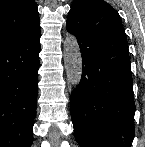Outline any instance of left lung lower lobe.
Here are the masks:
<instances>
[{"label":"left lung lower lobe","mask_w":145,"mask_h":147,"mask_svg":"<svg viewBox=\"0 0 145 147\" xmlns=\"http://www.w3.org/2000/svg\"><path fill=\"white\" fill-rule=\"evenodd\" d=\"M67 30L76 36L83 61L70 99L76 141L81 147H130L135 103L119 14L103 0H75Z\"/></svg>","instance_id":"obj_1"}]
</instances>
